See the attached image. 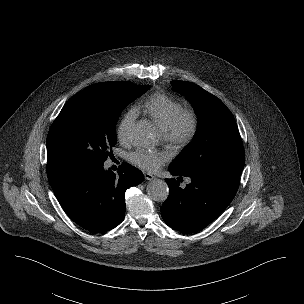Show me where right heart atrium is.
<instances>
[{"label": "right heart atrium", "mask_w": 304, "mask_h": 304, "mask_svg": "<svg viewBox=\"0 0 304 304\" xmlns=\"http://www.w3.org/2000/svg\"><path fill=\"white\" fill-rule=\"evenodd\" d=\"M136 113L133 110L128 111L120 120L117 128V136L121 141H127L130 130L135 122Z\"/></svg>", "instance_id": "d8ad5b80"}]
</instances>
